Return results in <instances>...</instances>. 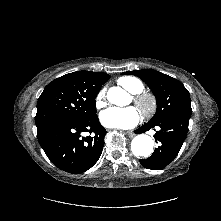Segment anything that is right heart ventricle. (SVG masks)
<instances>
[{"label":"right heart ventricle","mask_w":221,"mask_h":221,"mask_svg":"<svg viewBox=\"0 0 221 221\" xmlns=\"http://www.w3.org/2000/svg\"><path fill=\"white\" fill-rule=\"evenodd\" d=\"M118 84L132 94L140 93L144 89L143 82L140 79L132 76H123L119 78Z\"/></svg>","instance_id":"obj_1"}]
</instances>
